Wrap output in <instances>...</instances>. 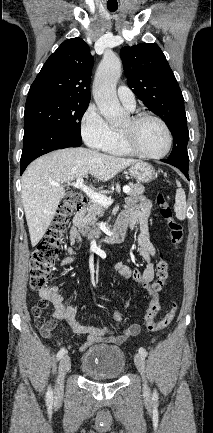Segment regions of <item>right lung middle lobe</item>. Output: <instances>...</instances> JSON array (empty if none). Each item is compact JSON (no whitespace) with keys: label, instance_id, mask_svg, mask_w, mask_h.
Wrapping results in <instances>:
<instances>
[{"label":"right lung middle lobe","instance_id":"obj_1","mask_svg":"<svg viewBox=\"0 0 213 433\" xmlns=\"http://www.w3.org/2000/svg\"><path fill=\"white\" fill-rule=\"evenodd\" d=\"M89 101L39 96L27 98L25 104V126L32 123L44 124L81 139L80 122Z\"/></svg>","mask_w":213,"mask_h":433}]
</instances>
